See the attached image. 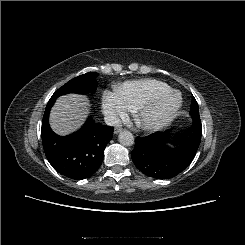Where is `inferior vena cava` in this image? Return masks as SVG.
I'll return each instance as SVG.
<instances>
[{
    "label": "inferior vena cava",
    "mask_w": 245,
    "mask_h": 245,
    "mask_svg": "<svg viewBox=\"0 0 245 245\" xmlns=\"http://www.w3.org/2000/svg\"><path fill=\"white\" fill-rule=\"evenodd\" d=\"M104 120H105V123L108 125V126H114V127H119L121 126V120L118 116H115V115H106L104 117Z\"/></svg>",
    "instance_id": "inferior-vena-cava-1"
}]
</instances>
